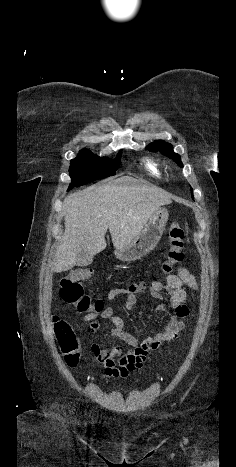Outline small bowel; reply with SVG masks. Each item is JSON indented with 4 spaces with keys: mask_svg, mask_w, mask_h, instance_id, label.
Returning a JSON list of instances; mask_svg holds the SVG:
<instances>
[{
    "mask_svg": "<svg viewBox=\"0 0 236 467\" xmlns=\"http://www.w3.org/2000/svg\"><path fill=\"white\" fill-rule=\"evenodd\" d=\"M196 290L198 283L195 277L185 268L179 267L176 274H168L165 284L154 279L150 284L138 282L127 288H115L106 296L107 302H112L116 297L124 295V308L131 310L138 302L139 296L149 294L150 296L163 299V292L169 294V308L171 314L165 328L140 342L134 335L127 332L122 318L116 316L111 306H107L100 313H86L82 320L90 322V331L96 333L99 330V320H108L113 324L111 336L118 338L129 345L130 349L121 346L108 351L99 344H93L91 351L93 358L102 363L107 378H127L131 373L142 368L150 352L158 349L164 343L173 341L179 333L184 330L189 320V309L184 304L187 298L186 288ZM157 311L165 312L166 308L160 304Z\"/></svg>",
    "mask_w": 236,
    "mask_h": 467,
    "instance_id": "c3829d8e",
    "label": "small bowel"
}]
</instances>
